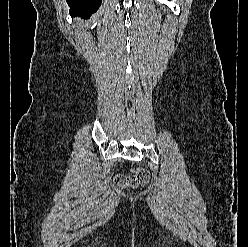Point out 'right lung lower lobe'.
I'll use <instances>...</instances> for the list:
<instances>
[{
    "label": "right lung lower lobe",
    "instance_id": "98d812e1",
    "mask_svg": "<svg viewBox=\"0 0 248 247\" xmlns=\"http://www.w3.org/2000/svg\"><path fill=\"white\" fill-rule=\"evenodd\" d=\"M75 14L90 16L96 12L102 0H66Z\"/></svg>",
    "mask_w": 248,
    "mask_h": 247
}]
</instances>
